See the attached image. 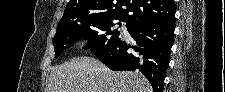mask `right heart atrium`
<instances>
[{
	"instance_id": "obj_1",
	"label": "right heart atrium",
	"mask_w": 225,
	"mask_h": 92,
	"mask_svg": "<svg viewBox=\"0 0 225 92\" xmlns=\"http://www.w3.org/2000/svg\"><path fill=\"white\" fill-rule=\"evenodd\" d=\"M83 41L85 43H89L91 41V37L89 35H86V36L83 37Z\"/></svg>"
}]
</instances>
